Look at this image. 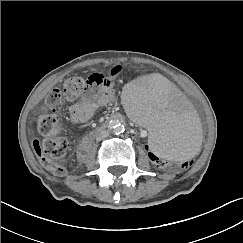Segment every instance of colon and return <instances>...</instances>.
Masks as SVG:
<instances>
[{"instance_id":"1","label":"colon","mask_w":243,"mask_h":243,"mask_svg":"<svg viewBox=\"0 0 243 243\" xmlns=\"http://www.w3.org/2000/svg\"><path fill=\"white\" fill-rule=\"evenodd\" d=\"M122 70L120 65L110 67L106 72L97 73L96 69L88 68L85 71L87 79L82 77L68 78L62 89L55 88L46 96L43 112L37 118V130L43 136L42 140L35 139L34 150L38 155L43 168L55 175H62L64 168L61 160L64 158L69 144L66 139L59 137L61 129L59 117L55 114L60 110L64 100H74L78 98L88 88L96 85L111 86ZM143 152L147 158L159 168L167 167L171 169L173 164L157 156L149 146L143 147ZM198 159L193 157L188 162H176V169L188 170L195 167Z\"/></svg>"}]
</instances>
